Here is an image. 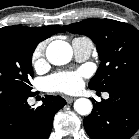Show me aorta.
<instances>
[{"instance_id":"762f6f07","label":"aorta","mask_w":139,"mask_h":139,"mask_svg":"<svg viewBox=\"0 0 139 139\" xmlns=\"http://www.w3.org/2000/svg\"><path fill=\"white\" fill-rule=\"evenodd\" d=\"M46 57L53 65L67 64L72 58V48L65 41H52L46 49ZM92 108V102L87 98H79L74 102V109L80 115H89Z\"/></svg>"}]
</instances>
